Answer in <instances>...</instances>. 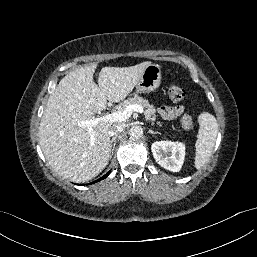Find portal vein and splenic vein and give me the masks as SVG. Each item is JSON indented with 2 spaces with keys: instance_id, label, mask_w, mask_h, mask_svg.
Wrapping results in <instances>:
<instances>
[{
  "instance_id": "1",
  "label": "portal vein and splenic vein",
  "mask_w": 257,
  "mask_h": 257,
  "mask_svg": "<svg viewBox=\"0 0 257 257\" xmlns=\"http://www.w3.org/2000/svg\"><path fill=\"white\" fill-rule=\"evenodd\" d=\"M136 111L138 113H143V107L138 104H133L126 106L123 110L115 111L110 114H106L105 116L99 117V118H92L87 119L84 121L79 122L78 124L83 127L88 128V132L90 134L91 141L93 142L95 139L94 133H93V126L97 125L99 122H123L129 119V117L132 115V112Z\"/></svg>"
}]
</instances>
